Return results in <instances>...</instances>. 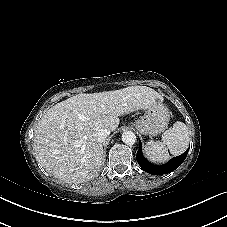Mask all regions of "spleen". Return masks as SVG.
Listing matches in <instances>:
<instances>
[{
    "label": "spleen",
    "mask_w": 227,
    "mask_h": 227,
    "mask_svg": "<svg viewBox=\"0 0 227 227\" xmlns=\"http://www.w3.org/2000/svg\"><path fill=\"white\" fill-rule=\"evenodd\" d=\"M189 129L185 123L177 121L162 135V141L150 140L146 143L144 151L153 162H162L172 155H179L186 151L189 145Z\"/></svg>",
    "instance_id": "3e777b00"
}]
</instances>
